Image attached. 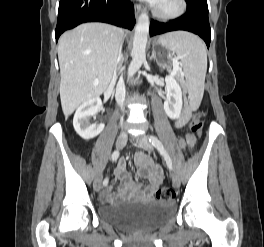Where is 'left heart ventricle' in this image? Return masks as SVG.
<instances>
[{"instance_id":"obj_1","label":"left heart ventricle","mask_w":264,"mask_h":247,"mask_svg":"<svg viewBox=\"0 0 264 247\" xmlns=\"http://www.w3.org/2000/svg\"><path fill=\"white\" fill-rule=\"evenodd\" d=\"M174 6V0H160V2L157 4L158 9L163 12L172 10Z\"/></svg>"}]
</instances>
